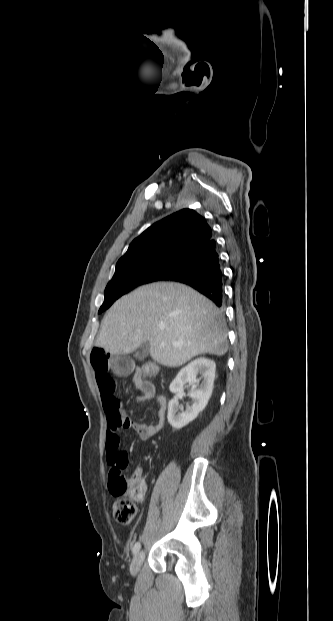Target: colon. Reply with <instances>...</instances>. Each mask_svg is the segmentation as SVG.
I'll list each match as a JSON object with an SVG mask.
<instances>
[{
    "mask_svg": "<svg viewBox=\"0 0 333 621\" xmlns=\"http://www.w3.org/2000/svg\"><path fill=\"white\" fill-rule=\"evenodd\" d=\"M158 367L154 363H145L134 372L136 377H154ZM109 490L116 500L113 504L114 519L121 524L131 523L136 516L134 500L146 492V483L142 478H127L125 466L118 464L110 469Z\"/></svg>",
    "mask_w": 333,
    "mask_h": 621,
    "instance_id": "colon-1",
    "label": "colon"
}]
</instances>
